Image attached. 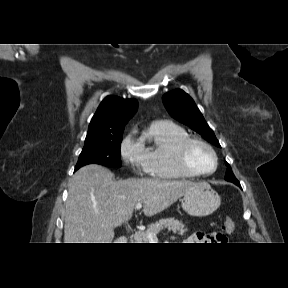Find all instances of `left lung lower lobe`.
Returning <instances> with one entry per match:
<instances>
[{"instance_id": "left-lung-lower-lobe-1", "label": "left lung lower lobe", "mask_w": 288, "mask_h": 288, "mask_svg": "<svg viewBox=\"0 0 288 288\" xmlns=\"http://www.w3.org/2000/svg\"><path fill=\"white\" fill-rule=\"evenodd\" d=\"M233 183L241 188L239 181H234Z\"/></svg>"}]
</instances>
